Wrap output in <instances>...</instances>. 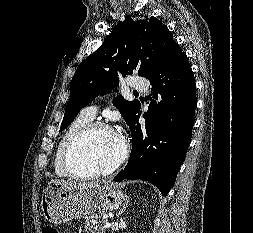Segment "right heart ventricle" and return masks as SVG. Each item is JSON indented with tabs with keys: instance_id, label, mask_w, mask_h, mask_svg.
<instances>
[{
	"instance_id": "1",
	"label": "right heart ventricle",
	"mask_w": 253,
	"mask_h": 233,
	"mask_svg": "<svg viewBox=\"0 0 253 233\" xmlns=\"http://www.w3.org/2000/svg\"><path fill=\"white\" fill-rule=\"evenodd\" d=\"M92 122L91 118L79 114L68 126L66 131L61 136L55 150L53 167L54 172L59 177H70L63 165V157L65 150L71 139L85 126Z\"/></svg>"
}]
</instances>
